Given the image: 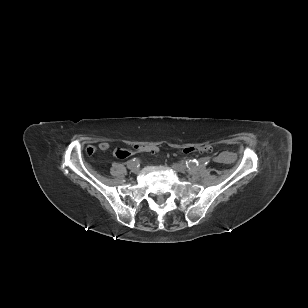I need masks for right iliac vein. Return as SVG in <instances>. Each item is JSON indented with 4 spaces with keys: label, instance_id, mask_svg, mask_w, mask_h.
<instances>
[{
    "label": "right iliac vein",
    "instance_id": "right-iliac-vein-1",
    "mask_svg": "<svg viewBox=\"0 0 308 308\" xmlns=\"http://www.w3.org/2000/svg\"><path fill=\"white\" fill-rule=\"evenodd\" d=\"M132 172L137 174L139 172V168L137 166L133 167Z\"/></svg>",
    "mask_w": 308,
    "mask_h": 308
}]
</instances>
